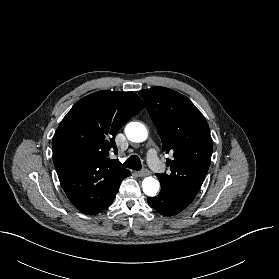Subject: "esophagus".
Segmentation results:
<instances>
[{"mask_svg": "<svg viewBox=\"0 0 279 279\" xmlns=\"http://www.w3.org/2000/svg\"><path fill=\"white\" fill-rule=\"evenodd\" d=\"M150 175V171L148 169H143L140 173H139V176L140 177H145V176H148Z\"/></svg>", "mask_w": 279, "mask_h": 279, "instance_id": "esophagus-1", "label": "esophagus"}]
</instances>
